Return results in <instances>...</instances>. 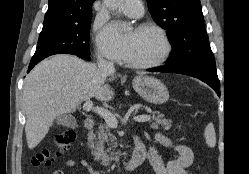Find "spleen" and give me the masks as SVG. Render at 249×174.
I'll list each match as a JSON object with an SVG mask.
<instances>
[{
	"instance_id": "3e777b00",
	"label": "spleen",
	"mask_w": 249,
	"mask_h": 174,
	"mask_svg": "<svg viewBox=\"0 0 249 174\" xmlns=\"http://www.w3.org/2000/svg\"><path fill=\"white\" fill-rule=\"evenodd\" d=\"M204 137H205V141L206 144L213 148L216 145V134H215V129H214V125L212 123H209L204 131Z\"/></svg>"
}]
</instances>
